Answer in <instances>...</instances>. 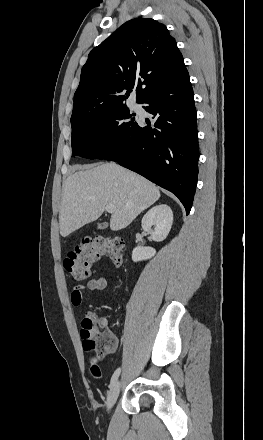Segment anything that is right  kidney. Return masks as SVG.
I'll use <instances>...</instances> for the list:
<instances>
[{
  "label": "right kidney",
  "mask_w": 263,
  "mask_h": 440,
  "mask_svg": "<svg viewBox=\"0 0 263 440\" xmlns=\"http://www.w3.org/2000/svg\"><path fill=\"white\" fill-rule=\"evenodd\" d=\"M173 223V212L166 204L152 207L142 218L141 226L144 231L151 234V238L160 242L166 239ZM152 226H155L152 230ZM156 250L152 247H135L132 251L134 262L147 260L153 257Z\"/></svg>",
  "instance_id": "obj_1"
}]
</instances>
